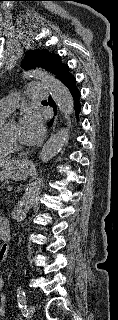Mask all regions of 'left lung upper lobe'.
Masks as SVG:
<instances>
[{"instance_id":"5c2ea615","label":"left lung upper lobe","mask_w":118,"mask_h":320,"mask_svg":"<svg viewBox=\"0 0 118 320\" xmlns=\"http://www.w3.org/2000/svg\"><path fill=\"white\" fill-rule=\"evenodd\" d=\"M22 67L26 70L35 67H42L51 71L60 80L69 70L68 65L60 61L57 54L50 53L47 50H29L22 62Z\"/></svg>"}]
</instances>
